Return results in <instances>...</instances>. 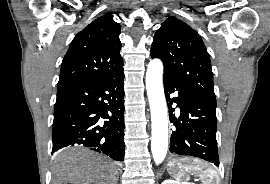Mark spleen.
I'll list each match as a JSON object with an SVG mask.
<instances>
[{"label":"spleen","instance_id":"obj_1","mask_svg":"<svg viewBox=\"0 0 270 184\" xmlns=\"http://www.w3.org/2000/svg\"><path fill=\"white\" fill-rule=\"evenodd\" d=\"M183 164L182 166L186 168L181 173V177H175L176 180L178 181H183L182 184H194L191 182H188L187 180L189 179L188 173H192L199 177L202 181V184H219V178L217 172L212 169L211 167H208L207 165H203L202 163H193V164H188L186 159H182Z\"/></svg>","mask_w":270,"mask_h":184}]
</instances>
